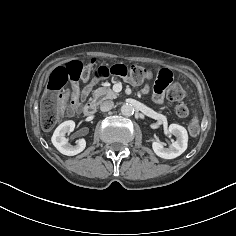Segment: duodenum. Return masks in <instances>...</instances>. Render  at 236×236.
I'll return each mask as SVG.
<instances>
[{"mask_svg": "<svg viewBox=\"0 0 236 236\" xmlns=\"http://www.w3.org/2000/svg\"><path fill=\"white\" fill-rule=\"evenodd\" d=\"M95 113V105L94 103H88L86 104L85 108H84V115L86 117H92Z\"/></svg>", "mask_w": 236, "mask_h": 236, "instance_id": "410a0bca", "label": "duodenum"}]
</instances>
